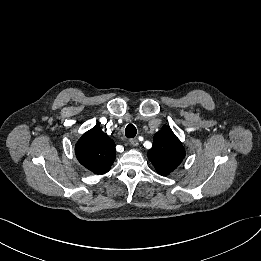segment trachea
I'll return each instance as SVG.
<instances>
[{"mask_svg": "<svg viewBox=\"0 0 261 261\" xmlns=\"http://www.w3.org/2000/svg\"><path fill=\"white\" fill-rule=\"evenodd\" d=\"M137 134V129L133 124H129L127 125L126 129H125V135L128 138H133L135 137Z\"/></svg>", "mask_w": 261, "mask_h": 261, "instance_id": "1", "label": "trachea"}]
</instances>
